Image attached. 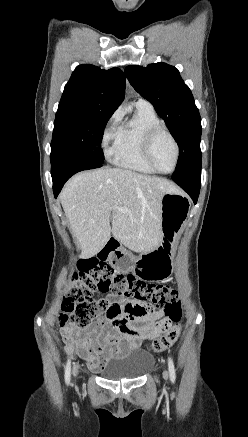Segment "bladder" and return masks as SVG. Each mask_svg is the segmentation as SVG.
Here are the masks:
<instances>
[{"label":"bladder","mask_w":248,"mask_h":437,"mask_svg":"<svg viewBox=\"0 0 248 437\" xmlns=\"http://www.w3.org/2000/svg\"><path fill=\"white\" fill-rule=\"evenodd\" d=\"M154 358L151 354L135 350L111 362L104 370V378L108 380H132L137 379L153 364Z\"/></svg>","instance_id":"obj_1"}]
</instances>
